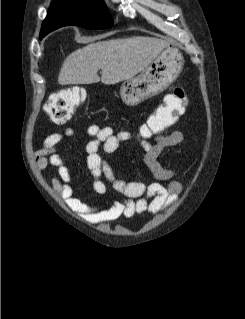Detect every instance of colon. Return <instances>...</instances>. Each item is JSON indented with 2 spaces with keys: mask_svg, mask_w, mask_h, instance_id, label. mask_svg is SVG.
Instances as JSON below:
<instances>
[{
  "mask_svg": "<svg viewBox=\"0 0 245 319\" xmlns=\"http://www.w3.org/2000/svg\"><path fill=\"white\" fill-rule=\"evenodd\" d=\"M185 93L180 88L165 100L164 104L141 125L139 134L143 139H151L171 127L183 114ZM86 93L81 87H72L52 95L45 105L47 114L54 122L66 121L83 102Z\"/></svg>",
  "mask_w": 245,
  "mask_h": 319,
  "instance_id": "colon-1",
  "label": "colon"
}]
</instances>
